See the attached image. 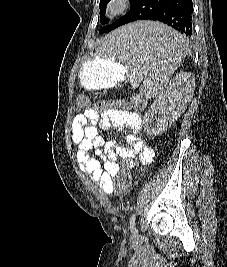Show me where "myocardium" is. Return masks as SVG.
<instances>
[{"label":"myocardium","mask_w":227,"mask_h":267,"mask_svg":"<svg viewBox=\"0 0 227 267\" xmlns=\"http://www.w3.org/2000/svg\"><path fill=\"white\" fill-rule=\"evenodd\" d=\"M131 0H108L104 13L108 18H118L124 15L129 7Z\"/></svg>","instance_id":"obj_1"}]
</instances>
